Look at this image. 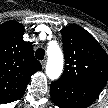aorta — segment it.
Listing matches in <instances>:
<instances>
[{
    "label": "aorta",
    "mask_w": 108,
    "mask_h": 108,
    "mask_svg": "<svg viewBox=\"0 0 108 108\" xmlns=\"http://www.w3.org/2000/svg\"><path fill=\"white\" fill-rule=\"evenodd\" d=\"M48 61L46 65V75L51 80L58 79L63 71V53L57 44H49L47 47Z\"/></svg>",
    "instance_id": "aorta-1"
}]
</instances>
